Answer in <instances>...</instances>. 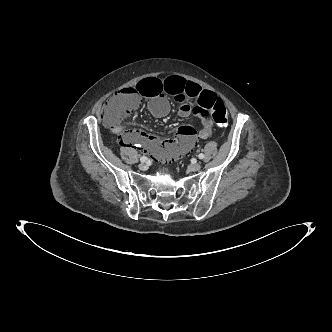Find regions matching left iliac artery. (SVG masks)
I'll return each mask as SVG.
<instances>
[{
    "label": "left iliac artery",
    "instance_id": "44dca946",
    "mask_svg": "<svg viewBox=\"0 0 332 332\" xmlns=\"http://www.w3.org/2000/svg\"><path fill=\"white\" fill-rule=\"evenodd\" d=\"M198 157H199V159H204V154H202V153H200L199 155H198Z\"/></svg>",
    "mask_w": 332,
    "mask_h": 332
}]
</instances>
